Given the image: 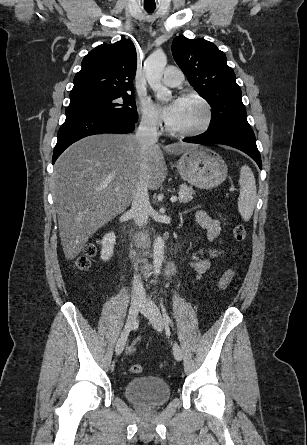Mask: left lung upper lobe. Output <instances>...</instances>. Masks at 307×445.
I'll list each match as a JSON object with an SVG mask.
<instances>
[{
	"instance_id": "5c2ea615",
	"label": "left lung upper lobe",
	"mask_w": 307,
	"mask_h": 445,
	"mask_svg": "<svg viewBox=\"0 0 307 445\" xmlns=\"http://www.w3.org/2000/svg\"><path fill=\"white\" fill-rule=\"evenodd\" d=\"M172 53L190 84L212 107L208 130L227 126L250 128L234 71L215 44L178 36L173 40Z\"/></svg>"
}]
</instances>
